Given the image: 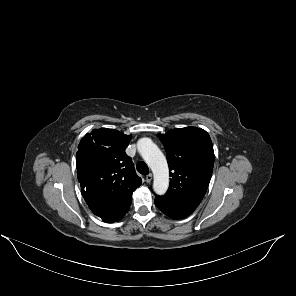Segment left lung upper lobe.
<instances>
[{
  "instance_id": "obj_1",
  "label": "left lung upper lobe",
  "mask_w": 296,
  "mask_h": 296,
  "mask_svg": "<svg viewBox=\"0 0 296 296\" xmlns=\"http://www.w3.org/2000/svg\"><path fill=\"white\" fill-rule=\"evenodd\" d=\"M170 171V185L161 204L181 209H196L202 201L213 171L214 150L209 134L200 128H176L159 134Z\"/></svg>"
}]
</instances>
